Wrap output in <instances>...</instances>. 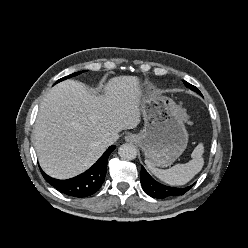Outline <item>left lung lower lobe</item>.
<instances>
[{"mask_svg": "<svg viewBox=\"0 0 248 248\" xmlns=\"http://www.w3.org/2000/svg\"><path fill=\"white\" fill-rule=\"evenodd\" d=\"M141 185L143 190L150 195L151 197L163 199L166 197L171 196H180L186 193L188 190L192 188V186H188L185 188H175V187H169L165 186L163 184L158 183L155 181L145 170L143 166H141Z\"/></svg>", "mask_w": 248, "mask_h": 248, "instance_id": "0a47b994", "label": "left lung lower lobe"}]
</instances>
